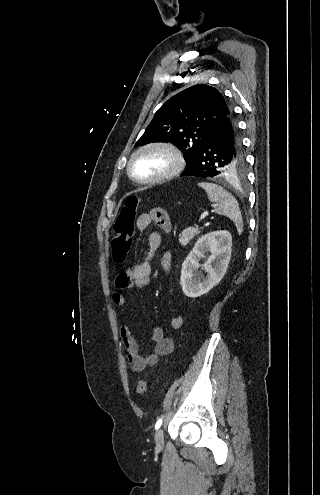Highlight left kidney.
<instances>
[{"label": "left kidney", "mask_w": 320, "mask_h": 495, "mask_svg": "<svg viewBox=\"0 0 320 495\" xmlns=\"http://www.w3.org/2000/svg\"><path fill=\"white\" fill-rule=\"evenodd\" d=\"M232 237L228 231H214L202 236L183 262L181 286L184 294L196 298L209 292L225 275L231 258ZM206 252L211 255L203 264L206 278L198 282L194 272L201 266Z\"/></svg>", "instance_id": "1"}]
</instances>
